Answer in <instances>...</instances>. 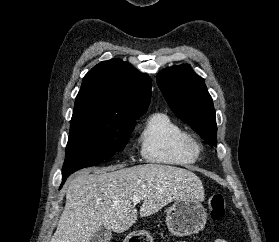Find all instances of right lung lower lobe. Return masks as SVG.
<instances>
[{"label": "right lung lower lobe", "instance_id": "obj_1", "mask_svg": "<svg viewBox=\"0 0 279 242\" xmlns=\"http://www.w3.org/2000/svg\"><path fill=\"white\" fill-rule=\"evenodd\" d=\"M66 178H67V177H66ZM66 178H63V179H62V184H61V186L64 184Z\"/></svg>", "mask_w": 279, "mask_h": 242}]
</instances>
